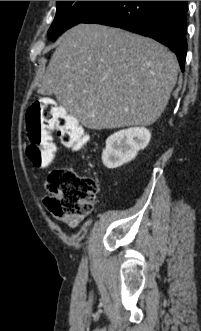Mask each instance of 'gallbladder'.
I'll return each mask as SVG.
<instances>
[{
  "label": "gallbladder",
  "instance_id": "bac80fb5",
  "mask_svg": "<svg viewBox=\"0 0 201 331\" xmlns=\"http://www.w3.org/2000/svg\"><path fill=\"white\" fill-rule=\"evenodd\" d=\"M42 95H44V96H48V95H50V93L48 92V91H46V90H43V91H41L40 92Z\"/></svg>",
  "mask_w": 201,
  "mask_h": 331
}]
</instances>
